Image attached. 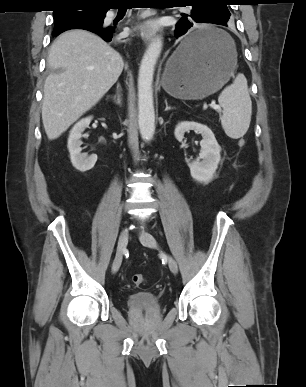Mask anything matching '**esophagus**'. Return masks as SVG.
Returning a JSON list of instances; mask_svg holds the SVG:
<instances>
[{
  "label": "esophagus",
  "mask_w": 306,
  "mask_h": 387,
  "mask_svg": "<svg viewBox=\"0 0 306 387\" xmlns=\"http://www.w3.org/2000/svg\"><path fill=\"white\" fill-rule=\"evenodd\" d=\"M155 34H156V31L153 28L149 27V26L145 25L141 29V37H142V39L144 40V42L146 44H148L149 42L152 41V39L154 38Z\"/></svg>",
  "instance_id": "1"
}]
</instances>
